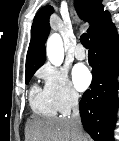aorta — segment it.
I'll return each mask as SVG.
<instances>
[{"instance_id":"aorta-1","label":"aorta","mask_w":119,"mask_h":141,"mask_svg":"<svg viewBox=\"0 0 119 141\" xmlns=\"http://www.w3.org/2000/svg\"><path fill=\"white\" fill-rule=\"evenodd\" d=\"M46 53L49 61L55 65L59 66L64 60V49L63 42L59 34H52L46 44Z\"/></svg>"}]
</instances>
